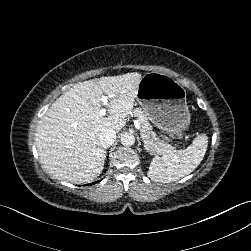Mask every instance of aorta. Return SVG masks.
Returning <instances> with one entry per match:
<instances>
[{"label": "aorta", "instance_id": "obj_1", "mask_svg": "<svg viewBox=\"0 0 251 251\" xmlns=\"http://www.w3.org/2000/svg\"><path fill=\"white\" fill-rule=\"evenodd\" d=\"M135 142V137L133 134L130 133H124L121 135V143L124 146H131Z\"/></svg>", "mask_w": 251, "mask_h": 251}]
</instances>
